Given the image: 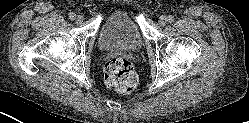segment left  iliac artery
<instances>
[{"label":"left iliac artery","instance_id":"44dca946","mask_svg":"<svg viewBox=\"0 0 249 123\" xmlns=\"http://www.w3.org/2000/svg\"><path fill=\"white\" fill-rule=\"evenodd\" d=\"M167 21H168L169 23L174 22V17H173L172 15H169L168 18H167Z\"/></svg>","mask_w":249,"mask_h":123}]
</instances>
